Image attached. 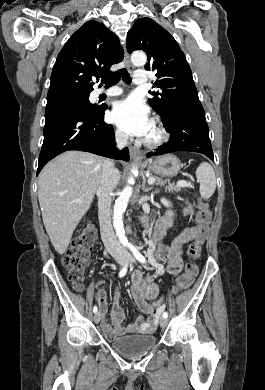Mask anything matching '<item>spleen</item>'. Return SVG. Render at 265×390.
<instances>
[{
  "label": "spleen",
  "instance_id": "1",
  "mask_svg": "<svg viewBox=\"0 0 265 390\" xmlns=\"http://www.w3.org/2000/svg\"><path fill=\"white\" fill-rule=\"evenodd\" d=\"M196 177L200 183L201 197L209 199L216 189V176L212 166L207 162H202L196 169Z\"/></svg>",
  "mask_w": 265,
  "mask_h": 390
}]
</instances>
